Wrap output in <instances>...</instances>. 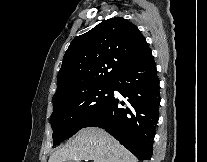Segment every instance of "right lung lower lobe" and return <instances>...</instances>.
I'll return each mask as SVG.
<instances>
[{"label": "right lung lower lobe", "mask_w": 207, "mask_h": 162, "mask_svg": "<svg viewBox=\"0 0 207 162\" xmlns=\"http://www.w3.org/2000/svg\"><path fill=\"white\" fill-rule=\"evenodd\" d=\"M112 85L127 99L121 102L113 92L108 103L84 127L104 128L139 160H150L161 99L153 57L128 68Z\"/></svg>", "instance_id": "98d812e1"}]
</instances>
